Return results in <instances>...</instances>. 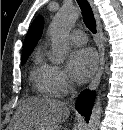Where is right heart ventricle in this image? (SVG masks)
Listing matches in <instances>:
<instances>
[{
	"instance_id": "e07e8e85",
	"label": "right heart ventricle",
	"mask_w": 123,
	"mask_h": 130,
	"mask_svg": "<svg viewBox=\"0 0 123 130\" xmlns=\"http://www.w3.org/2000/svg\"><path fill=\"white\" fill-rule=\"evenodd\" d=\"M53 66L50 65L42 52H37L33 59L31 80L38 93L44 96H56L52 75Z\"/></svg>"
}]
</instances>
